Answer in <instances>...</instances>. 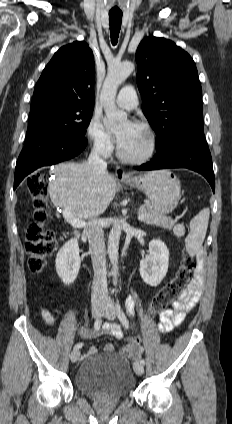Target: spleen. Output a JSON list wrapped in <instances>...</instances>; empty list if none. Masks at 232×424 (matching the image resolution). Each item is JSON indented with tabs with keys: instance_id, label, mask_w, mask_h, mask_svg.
I'll list each match as a JSON object with an SVG mask.
<instances>
[{
	"instance_id": "obj_1",
	"label": "spleen",
	"mask_w": 232,
	"mask_h": 424,
	"mask_svg": "<svg viewBox=\"0 0 232 424\" xmlns=\"http://www.w3.org/2000/svg\"><path fill=\"white\" fill-rule=\"evenodd\" d=\"M209 216V208H204L190 221V232L185 239V245L191 256L195 255L202 248L208 227Z\"/></svg>"
}]
</instances>
